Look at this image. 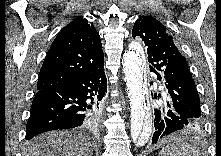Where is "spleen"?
Returning <instances> with one entry per match:
<instances>
[{
  "label": "spleen",
  "mask_w": 221,
  "mask_h": 156,
  "mask_svg": "<svg viewBox=\"0 0 221 156\" xmlns=\"http://www.w3.org/2000/svg\"><path fill=\"white\" fill-rule=\"evenodd\" d=\"M201 152L197 147L184 142L178 137H173L171 143L165 146L159 156H200Z\"/></svg>",
  "instance_id": "1"
}]
</instances>
